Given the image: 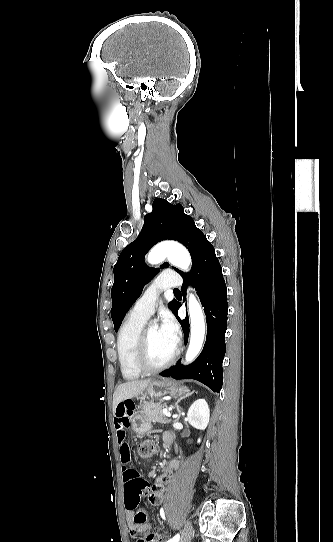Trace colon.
I'll list each match as a JSON object with an SVG mask.
<instances>
[{
  "label": "colon",
  "instance_id": "5ec220e1",
  "mask_svg": "<svg viewBox=\"0 0 333 542\" xmlns=\"http://www.w3.org/2000/svg\"><path fill=\"white\" fill-rule=\"evenodd\" d=\"M138 452L141 458L149 459L156 452V445L150 440H144L139 443ZM122 472L123 478L129 481L123 485L124 509L125 512L131 510L134 513L133 516L126 517V522L140 526L146 523V518L144 509L140 511L138 504L144 499L148 485L143 479H140V472L136 471L134 466H124ZM150 538L156 540L157 535L153 534Z\"/></svg>",
  "mask_w": 333,
  "mask_h": 542
}]
</instances>
